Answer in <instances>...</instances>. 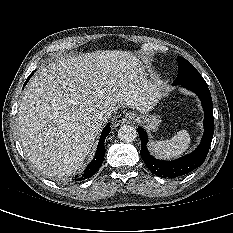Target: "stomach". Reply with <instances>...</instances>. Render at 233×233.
Returning a JSON list of instances; mask_svg holds the SVG:
<instances>
[{"instance_id":"0dacf381","label":"stomach","mask_w":233,"mask_h":233,"mask_svg":"<svg viewBox=\"0 0 233 233\" xmlns=\"http://www.w3.org/2000/svg\"><path fill=\"white\" fill-rule=\"evenodd\" d=\"M142 119L149 132H156L158 130L161 123V119L158 115H145Z\"/></svg>"}]
</instances>
